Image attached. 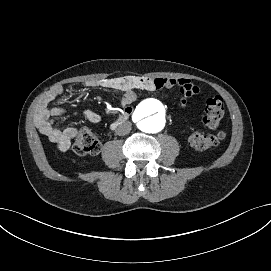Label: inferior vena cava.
Wrapping results in <instances>:
<instances>
[{
	"label": "inferior vena cava",
	"instance_id": "obj_1",
	"mask_svg": "<svg viewBox=\"0 0 271 271\" xmlns=\"http://www.w3.org/2000/svg\"><path fill=\"white\" fill-rule=\"evenodd\" d=\"M130 130H131V125L130 123L126 122L117 127L116 134L121 135V136L126 135L130 132Z\"/></svg>",
	"mask_w": 271,
	"mask_h": 271
}]
</instances>
